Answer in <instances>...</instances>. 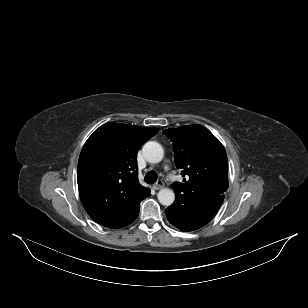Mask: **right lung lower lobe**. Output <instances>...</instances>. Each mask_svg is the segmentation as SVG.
Returning a JSON list of instances; mask_svg holds the SVG:
<instances>
[{"instance_id": "1", "label": "right lung lower lobe", "mask_w": 308, "mask_h": 308, "mask_svg": "<svg viewBox=\"0 0 308 308\" xmlns=\"http://www.w3.org/2000/svg\"><path fill=\"white\" fill-rule=\"evenodd\" d=\"M138 214H139V213H138ZM137 216H138V215H137ZM137 216L132 220V222L137 218ZM132 222H131V223H132Z\"/></svg>"}]
</instances>
